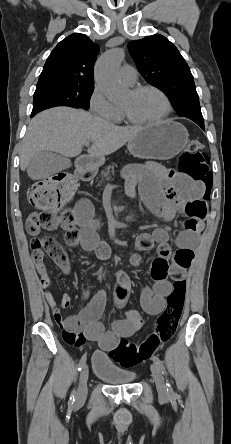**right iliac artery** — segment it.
<instances>
[{
  "label": "right iliac artery",
  "instance_id": "1",
  "mask_svg": "<svg viewBox=\"0 0 231 444\" xmlns=\"http://www.w3.org/2000/svg\"><path fill=\"white\" fill-rule=\"evenodd\" d=\"M85 362H86V354H84V355L81 357L80 361H79V364H78V371H81V369H82L83 365L85 364ZM74 401H75V392L72 391L71 396H70V403L73 404Z\"/></svg>",
  "mask_w": 231,
  "mask_h": 444
}]
</instances>
